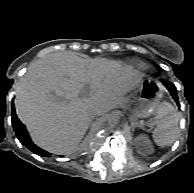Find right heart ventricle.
<instances>
[{
  "label": "right heart ventricle",
  "instance_id": "e07e8e85",
  "mask_svg": "<svg viewBox=\"0 0 194 193\" xmlns=\"http://www.w3.org/2000/svg\"><path fill=\"white\" fill-rule=\"evenodd\" d=\"M134 68L138 71L141 72L146 69V65L141 63V62H135L134 63Z\"/></svg>",
  "mask_w": 194,
  "mask_h": 193
}]
</instances>
